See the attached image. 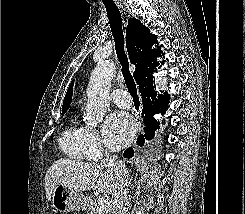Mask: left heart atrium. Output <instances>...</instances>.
<instances>
[{
  "instance_id": "obj_1",
  "label": "left heart atrium",
  "mask_w": 245,
  "mask_h": 214,
  "mask_svg": "<svg viewBox=\"0 0 245 214\" xmlns=\"http://www.w3.org/2000/svg\"><path fill=\"white\" fill-rule=\"evenodd\" d=\"M135 132V121L127 112L114 111L105 119L104 136L107 145L112 150H118L127 145Z\"/></svg>"
}]
</instances>
